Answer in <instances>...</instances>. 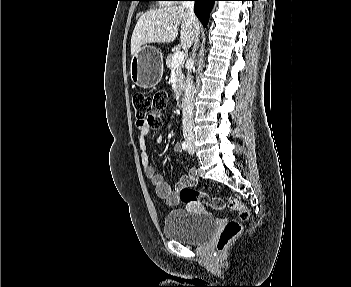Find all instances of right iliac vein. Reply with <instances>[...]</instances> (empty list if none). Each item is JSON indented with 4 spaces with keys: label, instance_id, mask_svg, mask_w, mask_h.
I'll use <instances>...</instances> for the list:
<instances>
[{
    "label": "right iliac vein",
    "instance_id": "obj_1",
    "mask_svg": "<svg viewBox=\"0 0 351 287\" xmlns=\"http://www.w3.org/2000/svg\"><path fill=\"white\" fill-rule=\"evenodd\" d=\"M188 143H189V145H192L193 139H189V140H188Z\"/></svg>",
    "mask_w": 351,
    "mask_h": 287
}]
</instances>
